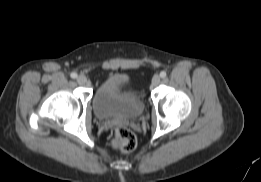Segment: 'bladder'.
<instances>
[{
    "label": "bladder",
    "instance_id": "bladder-1",
    "mask_svg": "<svg viewBox=\"0 0 261 182\" xmlns=\"http://www.w3.org/2000/svg\"><path fill=\"white\" fill-rule=\"evenodd\" d=\"M92 106L101 120H126L137 117L144 108L140 92L133 89L127 76L111 74L96 88Z\"/></svg>",
    "mask_w": 261,
    "mask_h": 182
}]
</instances>
